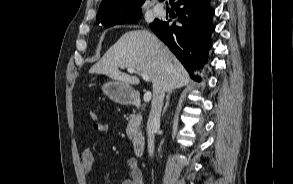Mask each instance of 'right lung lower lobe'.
<instances>
[{"instance_id": "1", "label": "right lung lower lobe", "mask_w": 293, "mask_h": 184, "mask_svg": "<svg viewBox=\"0 0 293 184\" xmlns=\"http://www.w3.org/2000/svg\"><path fill=\"white\" fill-rule=\"evenodd\" d=\"M209 2L210 0H170L180 24L176 25L171 20H155L150 24L153 32L172 50L196 81H200V77L193 75V70L202 68L207 63L210 37L215 29L212 24L215 11Z\"/></svg>"}]
</instances>
